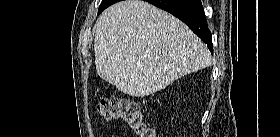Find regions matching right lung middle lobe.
<instances>
[{"instance_id":"obj_1","label":"right lung middle lobe","mask_w":280,"mask_h":137,"mask_svg":"<svg viewBox=\"0 0 280 137\" xmlns=\"http://www.w3.org/2000/svg\"><path fill=\"white\" fill-rule=\"evenodd\" d=\"M120 0H102L101 5L99 6L98 14H100L103 10H105L110 5L118 2Z\"/></svg>"}]
</instances>
